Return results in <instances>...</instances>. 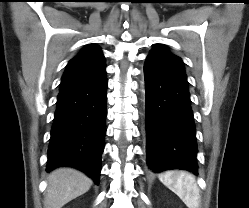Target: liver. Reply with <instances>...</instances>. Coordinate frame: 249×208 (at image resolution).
Instances as JSON below:
<instances>
[{"label": "liver", "instance_id": "obj_1", "mask_svg": "<svg viewBox=\"0 0 249 208\" xmlns=\"http://www.w3.org/2000/svg\"><path fill=\"white\" fill-rule=\"evenodd\" d=\"M48 187L45 204L47 208H61L71 200L86 193L92 180L73 168H58L47 178Z\"/></svg>", "mask_w": 249, "mask_h": 208}]
</instances>
